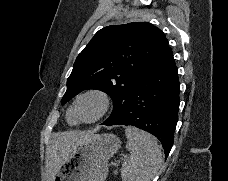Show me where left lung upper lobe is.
<instances>
[{"instance_id":"left-lung-upper-lobe-1","label":"left lung upper lobe","mask_w":228,"mask_h":181,"mask_svg":"<svg viewBox=\"0 0 228 181\" xmlns=\"http://www.w3.org/2000/svg\"><path fill=\"white\" fill-rule=\"evenodd\" d=\"M167 47L164 33L148 22L102 28L76 58L62 104L83 90H101L114 105L103 125L118 122L140 75Z\"/></svg>"}]
</instances>
